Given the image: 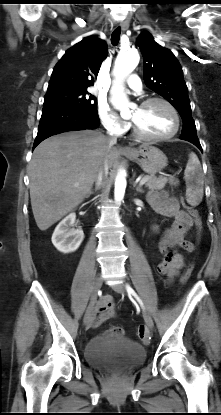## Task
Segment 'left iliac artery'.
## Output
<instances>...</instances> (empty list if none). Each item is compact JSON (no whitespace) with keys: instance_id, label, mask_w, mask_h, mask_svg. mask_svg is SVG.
<instances>
[{"instance_id":"44dca946","label":"left iliac artery","mask_w":221,"mask_h":415,"mask_svg":"<svg viewBox=\"0 0 221 415\" xmlns=\"http://www.w3.org/2000/svg\"><path fill=\"white\" fill-rule=\"evenodd\" d=\"M126 289H127L128 294L134 296L136 298V300L140 303V305L142 307H144L143 306V303H142V300L139 298V296L137 295V293L132 289V287L127 284L126 285Z\"/></svg>"}]
</instances>
